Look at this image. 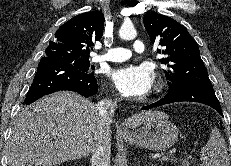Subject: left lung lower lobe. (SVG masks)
Segmentation results:
<instances>
[{"label":"left lung lower lobe","instance_id":"1","mask_svg":"<svg viewBox=\"0 0 231 166\" xmlns=\"http://www.w3.org/2000/svg\"><path fill=\"white\" fill-rule=\"evenodd\" d=\"M180 101H190L206 104L214 108L221 116H223L220 103L215 95L212 85L202 83L181 84L178 87L169 90L165 97H163L161 100L145 106L142 109L146 110Z\"/></svg>","mask_w":231,"mask_h":166}]
</instances>
